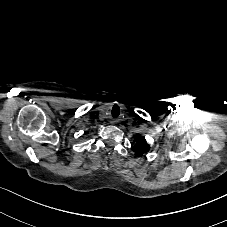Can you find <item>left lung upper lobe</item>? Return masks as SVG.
<instances>
[{
  "label": "left lung upper lobe",
  "instance_id": "left-lung-upper-lobe-1",
  "mask_svg": "<svg viewBox=\"0 0 227 227\" xmlns=\"http://www.w3.org/2000/svg\"><path fill=\"white\" fill-rule=\"evenodd\" d=\"M134 142L135 145L131 149L135 152L136 157H142L150 150V146L144 137H136Z\"/></svg>",
  "mask_w": 227,
  "mask_h": 227
}]
</instances>
